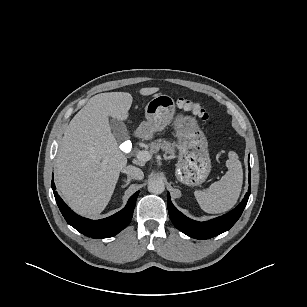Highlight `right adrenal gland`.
I'll return each instance as SVG.
<instances>
[{"label":"right adrenal gland","instance_id":"1","mask_svg":"<svg viewBox=\"0 0 307 307\" xmlns=\"http://www.w3.org/2000/svg\"><path fill=\"white\" fill-rule=\"evenodd\" d=\"M132 179H133L132 177L128 176L127 179L125 180V181H126V184H124V185L122 186V188L127 187V186L130 184V182H131Z\"/></svg>","mask_w":307,"mask_h":307}]
</instances>
